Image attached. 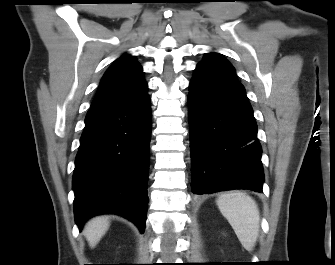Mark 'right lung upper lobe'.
<instances>
[{
    "label": "right lung upper lobe",
    "instance_id": "cb5924a9",
    "mask_svg": "<svg viewBox=\"0 0 335 265\" xmlns=\"http://www.w3.org/2000/svg\"><path fill=\"white\" fill-rule=\"evenodd\" d=\"M147 89L141 65L134 56L125 54L104 74L91 108L135 100L147 93Z\"/></svg>",
    "mask_w": 335,
    "mask_h": 265
}]
</instances>
